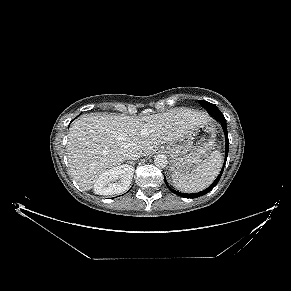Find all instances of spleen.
Instances as JSON below:
<instances>
[{"label": "spleen", "mask_w": 291, "mask_h": 291, "mask_svg": "<svg viewBox=\"0 0 291 291\" xmlns=\"http://www.w3.org/2000/svg\"><path fill=\"white\" fill-rule=\"evenodd\" d=\"M223 155L213 151L211 155L192 170L190 174L172 176L176 189L185 193H195L206 189L218 176L222 167Z\"/></svg>", "instance_id": "3e777b00"}]
</instances>
